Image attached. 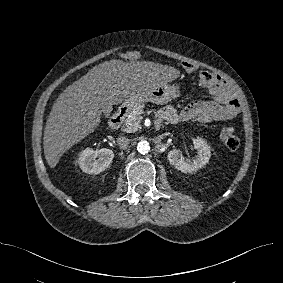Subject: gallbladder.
<instances>
[{
    "instance_id": "obj_1",
    "label": "gallbladder",
    "mask_w": 283,
    "mask_h": 283,
    "mask_svg": "<svg viewBox=\"0 0 283 283\" xmlns=\"http://www.w3.org/2000/svg\"><path fill=\"white\" fill-rule=\"evenodd\" d=\"M106 116H109L110 115V113L108 112V111H105V113H104Z\"/></svg>"
}]
</instances>
